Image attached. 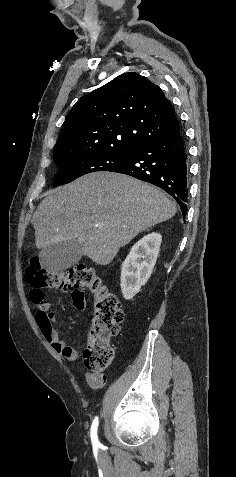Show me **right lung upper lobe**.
I'll return each instance as SVG.
<instances>
[{"label": "right lung upper lobe", "instance_id": "obj_1", "mask_svg": "<svg viewBox=\"0 0 236 477\" xmlns=\"http://www.w3.org/2000/svg\"><path fill=\"white\" fill-rule=\"evenodd\" d=\"M178 126L162 90L136 73H124L81 98L63 123L53 156L129 155Z\"/></svg>", "mask_w": 236, "mask_h": 477}]
</instances>
